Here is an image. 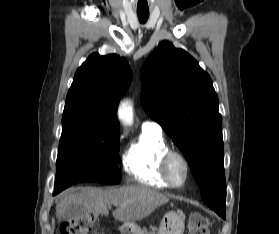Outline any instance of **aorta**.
<instances>
[{
	"label": "aorta",
	"mask_w": 279,
	"mask_h": 234,
	"mask_svg": "<svg viewBox=\"0 0 279 234\" xmlns=\"http://www.w3.org/2000/svg\"><path fill=\"white\" fill-rule=\"evenodd\" d=\"M119 119L124 125L130 126L133 123V107L130 101L125 100L121 102L118 109Z\"/></svg>",
	"instance_id": "aorta-1"
}]
</instances>
